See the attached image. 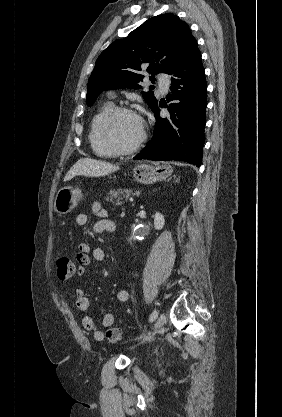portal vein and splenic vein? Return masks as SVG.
Here are the masks:
<instances>
[{
	"mask_svg": "<svg viewBox=\"0 0 282 417\" xmlns=\"http://www.w3.org/2000/svg\"><path fill=\"white\" fill-rule=\"evenodd\" d=\"M126 202H127V203H132V202H134V199H133V198H127V199H126Z\"/></svg>",
	"mask_w": 282,
	"mask_h": 417,
	"instance_id": "portal-vein-and-splenic-vein-1",
	"label": "portal vein and splenic vein"
}]
</instances>
